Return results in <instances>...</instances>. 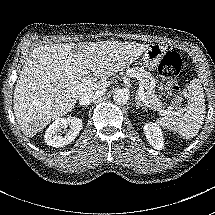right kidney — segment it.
I'll return each instance as SVG.
<instances>
[{"label": "right kidney", "mask_w": 215, "mask_h": 215, "mask_svg": "<svg viewBox=\"0 0 215 215\" xmlns=\"http://www.w3.org/2000/svg\"><path fill=\"white\" fill-rule=\"evenodd\" d=\"M82 129L79 117L59 118L54 121L45 133V143L52 147H64L77 137Z\"/></svg>", "instance_id": "obj_1"}]
</instances>
